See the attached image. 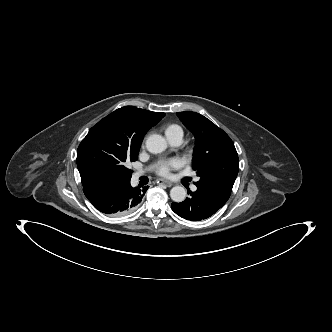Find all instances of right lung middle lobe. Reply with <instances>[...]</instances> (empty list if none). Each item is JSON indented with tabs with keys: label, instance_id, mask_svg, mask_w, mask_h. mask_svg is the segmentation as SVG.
Masks as SVG:
<instances>
[{
	"label": "right lung middle lobe",
	"instance_id": "right-lung-middle-lobe-1",
	"mask_svg": "<svg viewBox=\"0 0 332 332\" xmlns=\"http://www.w3.org/2000/svg\"><path fill=\"white\" fill-rule=\"evenodd\" d=\"M151 126L136 124L126 113L115 110L88 132L77 150L82 184L95 179H130L126 166L138 159L144 135Z\"/></svg>",
	"mask_w": 332,
	"mask_h": 332
}]
</instances>
